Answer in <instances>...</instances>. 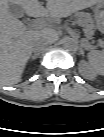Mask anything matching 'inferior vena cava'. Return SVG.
<instances>
[{
    "label": "inferior vena cava",
    "instance_id": "obj_1",
    "mask_svg": "<svg viewBox=\"0 0 104 137\" xmlns=\"http://www.w3.org/2000/svg\"><path fill=\"white\" fill-rule=\"evenodd\" d=\"M47 45H48V41H46L45 39H41L37 41L36 43H34V52L37 54L40 53L45 49Z\"/></svg>",
    "mask_w": 104,
    "mask_h": 137
}]
</instances>
